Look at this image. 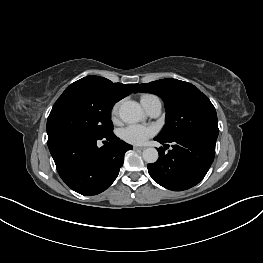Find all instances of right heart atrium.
I'll use <instances>...</instances> for the list:
<instances>
[{"label":"right heart atrium","mask_w":263,"mask_h":263,"mask_svg":"<svg viewBox=\"0 0 263 263\" xmlns=\"http://www.w3.org/2000/svg\"><path fill=\"white\" fill-rule=\"evenodd\" d=\"M118 108H119V104L116 103L113 107H112V110H111V117L113 120L116 119L117 117V114H118Z\"/></svg>","instance_id":"obj_1"}]
</instances>
